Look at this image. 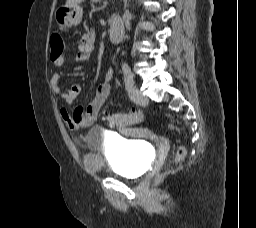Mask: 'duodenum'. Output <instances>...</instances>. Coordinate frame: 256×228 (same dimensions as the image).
<instances>
[{
    "instance_id": "1",
    "label": "duodenum",
    "mask_w": 256,
    "mask_h": 228,
    "mask_svg": "<svg viewBox=\"0 0 256 228\" xmlns=\"http://www.w3.org/2000/svg\"><path fill=\"white\" fill-rule=\"evenodd\" d=\"M123 35H124L123 24L118 20L113 21L109 30L110 41L113 43H118L123 38Z\"/></svg>"
}]
</instances>
